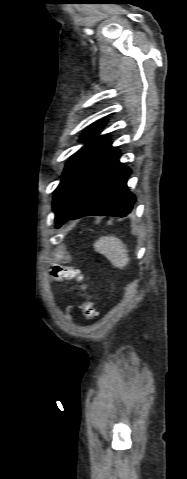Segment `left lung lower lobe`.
<instances>
[{"instance_id": "left-lung-lower-lobe-1", "label": "left lung lower lobe", "mask_w": 187, "mask_h": 479, "mask_svg": "<svg viewBox=\"0 0 187 479\" xmlns=\"http://www.w3.org/2000/svg\"><path fill=\"white\" fill-rule=\"evenodd\" d=\"M119 158L120 152L109 148L83 171L55 208L56 228L69 219L125 217L132 211L135 197L127 188L131 171Z\"/></svg>"}]
</instances>
